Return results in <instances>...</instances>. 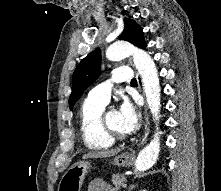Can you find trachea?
<instances>
[{
  "label": "trachea",
  "instance_id": "trachea-1",
  "mask_svg": "<svg viewBox=\"0 0 221 191\" xmlns=\"http://www.w3.org/2000/svg\"><path fill=\"white\" fill-rule=\"evenodd\" d=\"M131 84H137V80H136V79H133V80L131 81Z\"/></svg>",
  "mask_w": 221,
  "mask_h": 191
}]
</instances>
